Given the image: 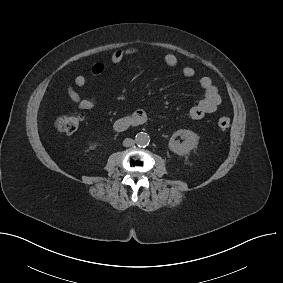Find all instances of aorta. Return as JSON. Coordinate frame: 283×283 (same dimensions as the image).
<instances>
[{"mask_svg":"<svg viewBox=\"0 0 283 283\" xmlns=\"http://www.w3.org/2000/svg\"><path fill=\"white\" fill-rule=\"evenodd\" d=\"M150 138L149 135L143 132L138 133L135 136V143L140 147H145L149 144Z\"/></svg>","mask_w":283,"mask_h":283,"instance_id":"762f6f07","label":"aorta"}]
</instances>
